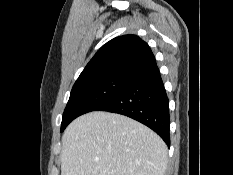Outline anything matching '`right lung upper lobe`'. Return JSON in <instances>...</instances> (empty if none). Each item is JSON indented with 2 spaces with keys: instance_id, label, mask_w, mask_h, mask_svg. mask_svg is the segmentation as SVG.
<instances>
[{
  "instance_id": "obj_1",
  "label": "right lung upper lobe",
  "mask_w": 233,
  "mask_h": 175,
  "mask_svg": "<svg viewBox=\"0 0 233 175\" xmlns=\"http://www.w3.org/2000/svg\"><path fill=\"white\" fill-rule=\"evenodd\" d=\"M154 66L156 60L147 43L138 36L124 35L103 45L89 61L77 81L113 74L134 78Z\"/></svg>"
}]
</instances>
